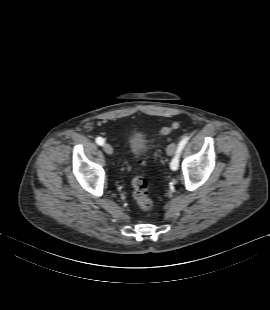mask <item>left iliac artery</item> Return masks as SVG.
Here are the masks:
<instances>
[{"mask_svg": "<svg viewBox=\"0 0 270 310\" xmlns=\"http://www.w3.org/2000/svg\"><path fill=\"white\" fill-rule=\"evenodd\" d=\"M188 140H189V137L188 136H184L181 139V141L179 142L177 150H176V153H175V156H174V158L171 161V169L172 170H176L178 168L179 158H180L181 152H182L183 148L185 147V145L187 144Z\"/></svg>", "mask_w": 270, "mask_h": 310, "instance_id": "left-iliac-artery-1", "label": "left iliac artery"}]
</instances>
